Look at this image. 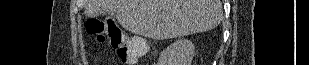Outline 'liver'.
I'll use <instances>...</instances> for the list:
<instances>
[{
    "label": "liver",
    "mask_w": 309,
    "mask_h": 65,
    "mask_svg": "<svg viewBox=\"0 0 309 65\" xmlns=\"http://www.w3.org/2000/svg\"><path fill=\"white\" fill-rule=\"evenodd\" d=\"M84 13H108L134 34L162 40L201 33L222 19L220 0H86Z\"/></svg>",
    "instance_id": "obj_1"
}]
</instances>
